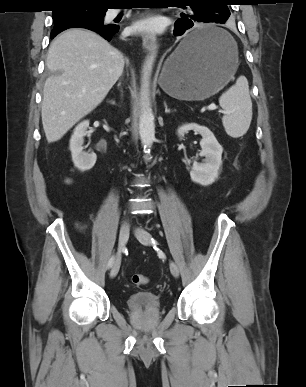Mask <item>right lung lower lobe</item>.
<instances>
[{"instance_id": "right-lung-lower-lobe-1", "label": "right lung lower lobe", "mask_w": 306, "mask_h": 387, "mask_svg": "<svg viewBox=\"0 0 306 387\" xmlns=\"http://www.w3.org/2000/svg\"><path fill=\"white\" fill-rule=\"evenodd\" d=\"M77 27L87 28L89 30L95 31L108 41H110L112 39V36L119 30V26L117 25L77 26ZM56 35L57 34L52 35V38L55 37Z\"/></svg>"}]
</instances>
